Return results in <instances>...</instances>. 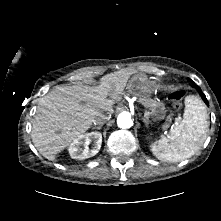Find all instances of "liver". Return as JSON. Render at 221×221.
Listing matches in <instances>:
<instances>
[{"label": "liver", "mask_w": 221, "mask_h": 221, "mask_svg": "<svg viewBox=\"0 0 221 221\" xmlns=\"http://www.w3.org/2000/svg\"><path fill=\"white\" fill-rule=\"evenodd\" d=\"M128 78L129 73L121 70L103 76L98 86H56L43 96L31 132L39 153L55 161L58 153L91 127L99 113L113 114L114 99Z\"/></svg>", "instance_id": "6515ba94"}]
</instances>
